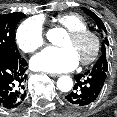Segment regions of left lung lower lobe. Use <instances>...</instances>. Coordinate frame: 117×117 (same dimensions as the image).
<instances>
[{
    "label": "left lung lower lobe",
    "mask_w": 117,
    "mask_h": 117,
    "mask_svg": "<svg viewBox=\"0 0 117 117\" xmlns=\"http://www.w3.org/2000/svg\"><path fill=\"white\" fill-rule=\"evenodd\" d=\"M107 79V72L91 69L75 76L76 84L67 96V102L75 106H87L96 101Z\"/></svg>",
    "instance_id": "0a47b994"
}]
</instances>
